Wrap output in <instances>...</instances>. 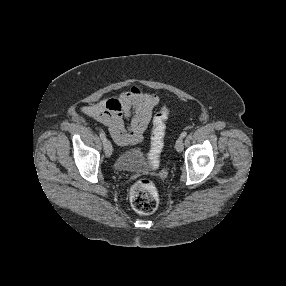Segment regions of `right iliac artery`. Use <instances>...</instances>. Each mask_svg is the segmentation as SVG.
<instances>
[{
	"mask_svg": "<svg viewBox=\"0 0 286 286\" xmlns=\"http://www.w3.org/2000/svg\"><path fill=\"white\" fill-rule=\"evenodd\" d=\"M99 136H100V138H101V140H102V142H103V144L105 146V143L107 141L105 133L104 132H100Z\"/></svg>",
	"mask_w": 286,
	"mask_h": 286,
	"instance_id": "obj_1",
	"label": "right iliac artery"
}]
</instances>
